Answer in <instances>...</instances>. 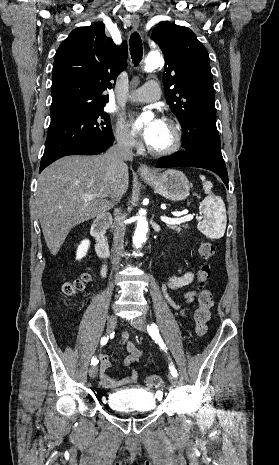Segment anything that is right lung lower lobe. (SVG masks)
Returning a JSON list of instances; mask_svg holds the SVG:
<instances>
[{"label": "right lung lower lobe", "mask_w": 279, "mask_h": 465, "mask_svg": "<svg viewBox=\"0 0 279 465\" xmlns=\"http://www.w3.org/2000/svg\"><path fill=\"white\" fill-rule=\"evenodd\" d=\"M113 141H111L109 143H102V144H83V145H79V146L70 148V149L62 152L61 154L57 155L53 159L49 160L48 162H46L44 164H41L39 172H41L44 168H46L52 162L56 161L57 159H59V158H61L63 156L73 155V154H77V155H95V154H99V153L107 150L113 144Z\"/></svg>", "instance_id": "98d812e1"}]
</instances>
